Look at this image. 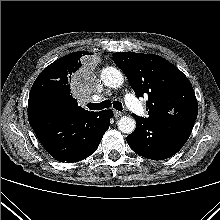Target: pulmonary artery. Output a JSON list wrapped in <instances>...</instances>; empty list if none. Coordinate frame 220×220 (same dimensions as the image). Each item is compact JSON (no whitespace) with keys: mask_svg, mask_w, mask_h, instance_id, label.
Wrapping results in <instances>:
<instances>
[{"mask_svg":"<svg viewBox=\"0 0 220 220\" xmlns=\"http://www.w3.org/2000/svg\"><path fill=\"white\" fill-rule=\"evenodd\" d=\"M125 102L127 106L136 114L143 115L144 110L141 106V104L137 101V99L132 94H126L125 95Z\"/></svg>","mask_w":220,"mask_h":220,"instance_id":"e3ab8cb5","label":"pulmonary artery"}]
</instances>
